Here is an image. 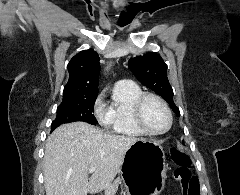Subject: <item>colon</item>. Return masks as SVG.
I'll list each match as a JSON object with an SVG mask.
<instances>
[{
    "mask_svg": "<svg viewBox=\"0 0 240 195\" xmlns=\"http://www.w3.org/2000/svg\"><path fill=\"white\" fill-rule=\"evenodd\" d=\"M172 157L175 162L181 164L176 173V177L179 179L180 185L184 191V195H199V179L192 175L188 169L190 160L187 153L183 149H173Z\"/></svg>",
    "mask_w": 240,
    "mask_h": 195,
    "instance_id": "1",
    "label": "colon"
}]
</instances>
